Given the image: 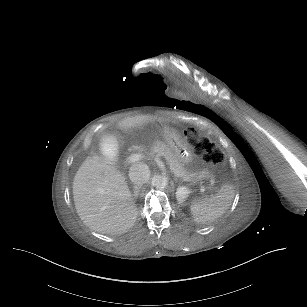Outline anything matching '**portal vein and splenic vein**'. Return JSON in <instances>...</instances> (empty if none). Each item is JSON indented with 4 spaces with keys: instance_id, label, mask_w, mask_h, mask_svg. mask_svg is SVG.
<instances>
[{
    "instance_id": "18ae733b",
    "label": "portal vein and splenic vein",
    "mask_w": 307,
    "mask_h": 307,
    "mask_svg": "<svg viewBox=\"0 0 307 307\" xmlns=\"http://www.w3.org/2000/svg\"><path fill=\"white\" fill-rule=\"evenodd\" d=\"M139 158H140L139 153L134 152V153L130 154L129 158L127 159V162H128L129 164H133V163H136V162L139 160ZM202 185H203V184L200 182L197 186L199 187L198 190H199L200 193L203 195L205 192H204L203 189L201 188Z\"/></svg>"
}]
</instances>
